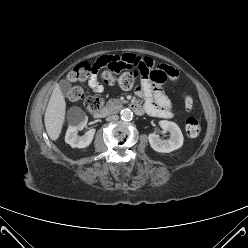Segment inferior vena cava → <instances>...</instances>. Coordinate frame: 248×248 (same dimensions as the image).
Returning a JSON list of instances; mask_svg holds the SVG:
<instances>
[{
    "label": "inferior vena cava",
    "mask_w": 248,
    "mask_h": 248,
    "mask_svg": "<svg viewBox=\"0 0 248 248\" xmlns=\"http://www.w3.org/2000/svg\"><path fill=\"white\" fill-rule=\"evenodd\" d=\"M118 116L117 115H111L109 117L106 118L107 121H115L118 120Z\"/></svg>",
    "instance_id": "inferior-vena-cava-1"
}]
</instances>
